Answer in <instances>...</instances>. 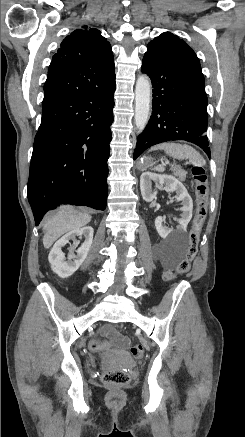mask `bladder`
Segmentation results:
<instances>
[{
	"label": "bladder",
	"mask_w": 245,
	"mask_h": 437,
	"mask_svg": "<svg viewBox=\"0 0 245 437\" xmlns=\"http://www.w3.org/2000/svg\"><path fill=\"white\" fill-rule=\"evenodd\" d=\"M109 364L116 368H128L135 364V361L126 352L110 350L107 354Z\"/></svg>",
	"instance_id": "1"
}]
</instances>
